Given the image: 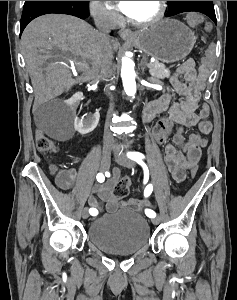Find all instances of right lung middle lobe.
<instances>
[{"label":"right lung middle lobe","instance_id":"right-lung-middle-lobe-1","mask_svg":"<svg viewBox=\"0 0 237 300\" xmlns=\"http://www.w3.org/2000/svg\"><path fill=\"white\" fill-rule=\"evenodd\" d=\"M62 2H71V1H25L22 14L28 13L41 6L54 4V3H62Z\"/></svg>","mask_w":237,"mask_h":300}]
</instances>
